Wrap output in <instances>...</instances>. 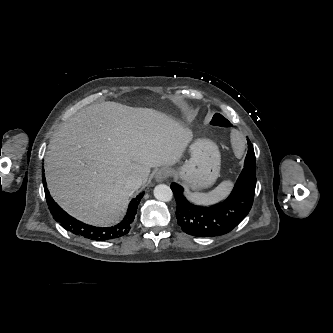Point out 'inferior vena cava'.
<instances>
[{
    "label": "inferior vena cava",
    "instance_id": "inferior-vena-cava-1",
    "mask_svg": "<svg viewBox=\"0 0 333 333\" xmlns=\"http://www.w3.org/2000/svg\"><path fill=\"white\" fill-rule=\"evenodd\" d=\"M143 183V179L139 174H130L125 178L126 187L130 190L138 189Z\"/></svg>",
    "mask_w": 333,
    "mask_h": 333
}]
</instances>
